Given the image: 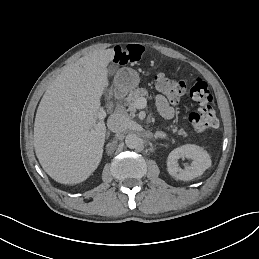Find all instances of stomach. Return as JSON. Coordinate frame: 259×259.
<instances>
[{
	"label": "stomach",
	"instance_id": "stomach-1",
	"mask_svg": "<svg viewBox=\"0 0 259 259\" xmlns=\"http://www.w3.org/2000/svg\"><path fill=\"white\" fill-rule=\"evenodd\" d=\"M139 83L140 79L137 72L128 68L118 70L114 78L116 88L122 92L133 90Z\"/></svg>",
	"mask_w": 259,
	"mask_h": 259
}]
</instances>
